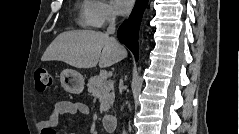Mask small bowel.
Instances as JSON below:
<instances>
[{
  "mask_svg": "<svg viewBox=\"0 0 239 134\" xmlns=\"http://www.w3.org/2000/svg\"><path fill=\"white\" fill-rule=\"evenodd\" d=\"M89 107L77 101H59L57 102L49 116L38 123V128L41 134H56L55 127L58 123L59 117L63 114H82L88 115Z\"/></svg>",
  "mask_w": 239,
  "mask_h": 134,
  "instance_id": "obj_1",
  "label": "small bowel"
}]
</instances>
